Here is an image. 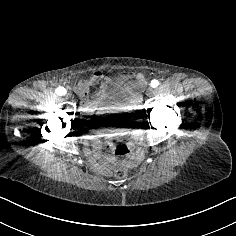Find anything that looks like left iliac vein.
Returning <instances> with one entry per match:
<instances>
[{
  "label": "left iliac vein",
  "instance_id": "4c4485c4",
  "mask_svg": "<svg viewBox=\"0 0 236 236\" xmlns=\"http://www.w3.org/2000/svg\"><path fill=\"white\" fill-rule=\"evenodd\" d=\"M145 96L147 97H154L155 96V91L153 88H147L144 91Z\"/></svg>",
  "mask_w": 236,
  "mask_h": 236
}]
</instances>
